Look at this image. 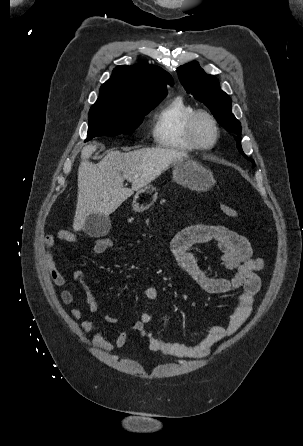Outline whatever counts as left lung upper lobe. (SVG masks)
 I'll return each mask as SVG.
<instances>
[{
	"mask_svg": "<svg viewBox=\"0 0 303 446\" xmlns=\"http://www.w3.org/2000/svg\"><path fill=\"white\" fill-rule=\"evenodd\" d=\"M177 73L186 91L203 102L222 127L236 134L241 133V124L231 110V99L220 89L214 76L206 74L196 61L178 67ZM236 140L239 151L244 155L240 137H236ZM245 158L254 163L251 158Z\"/></svg>",
	"mask_w": 303,
	"mask_h": 446,
	"instance_id": "obj_1",
	"label": "left lung upper lobe"
}]
</instances>
